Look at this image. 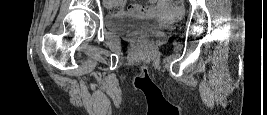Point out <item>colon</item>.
Returning a JSON list of instances; mask_svg holds the SVG:
<instances>
[{"mask_svg":"<svg viewBox=\"0 0 267 115\" xmlns=\"http://www.w3.org/2000/svg\"><path fill=\"white\" fill-rule=\"evenodd\" d=\"M175 5H180L181 4V0H174L172 1ZM109 12L111 14H119V13H123L124 12V8L122 5L120 4H112L109 7Z\"/></svg>","mask_w":267,"mask_h":115,"instance_id":"obj_1","label":"colon"}]
</instances>
